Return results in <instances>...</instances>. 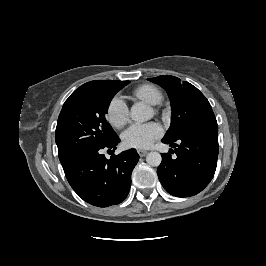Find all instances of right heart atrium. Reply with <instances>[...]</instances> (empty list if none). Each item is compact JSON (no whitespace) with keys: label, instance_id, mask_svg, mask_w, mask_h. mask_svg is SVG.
I'll return each instance as SVG.
<instances>
[{"label":"right heart atrium","instance_id":"d8ad5b80","mask_svg":"<svg viewBox=\"0 0 266 266\" xmlns=\"http://www.w3.org/2000/svg\"><path fill=\"white\" fill-rule=\"evenodd\" d=\"M107 118L115 128L124 127L129 121V109L124 100L115 97L109 103Z\"/></svg>","mask_w":266,"mask_h":266}]
</instances>
